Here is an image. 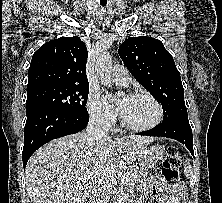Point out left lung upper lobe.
<instances>
[{
  "mask_svg": "<svg viewBox=\"0 0 222 203\" xmlns=\"http://www.w3.org/2000/svg\"><path fill=\"white\" fill-rule=\"evenodd\" d=\"M118 53L135 79L160 101L163 121L188 118L180 73L160 40L130 37L120 45Z\"/></svg>",
  "mask_w": 222,
  "mask_h": 203,
  "instance_id": "1",
  "label": "left lung upper lobe"
}]
</instances>
